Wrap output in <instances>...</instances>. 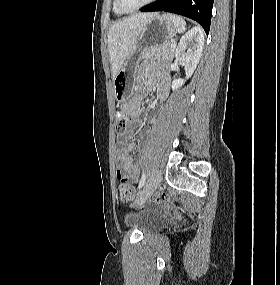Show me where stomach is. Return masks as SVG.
Here are the masks:
<instances>
[{
	"label": "stomach",
	"instance_id": "stomach-1",
	"mask_svg": "<svg viewBox=\"0 0 280 285\" xmlns=\"http://www.w3.org/2000/svg\"><path fill=\"white\" fill-rule=\"evenodd\" d=\"M177 32L174 24L164 15H156L150 19L136 42L133 51L114 78L115 98L120 103L127 102L133 94V80L137 66L144 52L154 46L170 40Z\"/></svg>",
	"mask_w": 280,
	"mask_h": 285
}]
</instances>
